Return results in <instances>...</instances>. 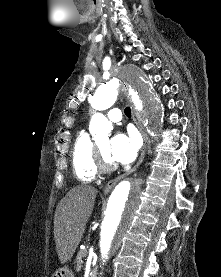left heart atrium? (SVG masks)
<instances>
[{
    "mask_svg": "<svg viewBox=\"0 0 221 277\" xmlns=\"http://www.w3.org/2000/svg\"><path fill=\"white\" fill-rule=\"evenodd\" d=\"M140 146L138 135L134 131L128 130L116 134L111 139L108 154L112 161L128 164L136 159Z\"/></svg>",
    "mask_w": 221,
    "mask_h": 277,
    "instance_id": "1",
    "label": "left heart atrium"
}]
</instances>
